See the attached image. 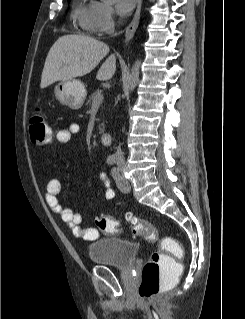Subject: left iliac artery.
I'll return each mask as SVG.
<instances>
[{
  "instance_id": "44dca946",
  "label": "left iliac artery",
  "mask_w": 245,
  "mask_h": 319,
  "mask_svg": "<svg viewBox=\"0 0 245 319\" xmlns=\"http://www.w3.org/2000/svg\"><path fill=\"white\" fill-rule=\"evenodd\" d=\"M111 174H112V176H113L118 188L121 189V190H124V188H125L124 184L119 180V170L116 167H114L111 170Z\"/></svg>"
}]
</instances>
